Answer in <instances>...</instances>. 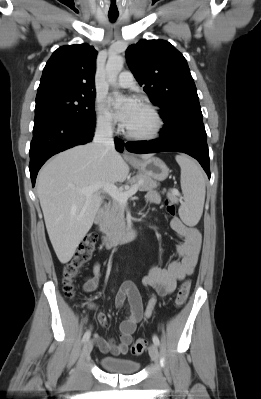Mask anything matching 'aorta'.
<instances>
[{"label":"aorta","mask_w":261,"mask_h":399,"mask_svg":"<svg viewBox=\"0 0 261 399\" xmlns=\"http://www.w3.org/2000/svg\"><path fill=\"white\" fill-rule=\"evenodd\" d=\"M124 58L120 55L110 56L106 64V77L109 83L116 84L117 78L121 70L123 69ZM116 100L118 102L123 100V97L116 95Z\"/></svg>","instance_id":"1"}]
</instances>
